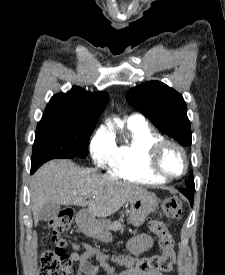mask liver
<instances>
[{
	"label": "liver",
	"instance_id": "6515ba94",
	"mask_svg": "<svg viewBox=\"0 0 225 275\" xmlns=\"http://www.w3.org/2000/svg\"><path fill=\"white\" fill-rule=\"evenodd\" d=\"M147 192L137 185L110 175H98L66 159L52 160L33 175L30 194L35 226L47 202L88 206L92 216L105 218L116 213L132 196ZM86 199H89L86 201Z\"/></svg>",
	"mask_w": 225,
	"mask_h": 275
}]
</instances>
